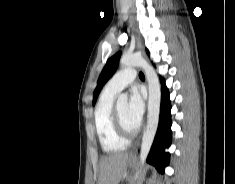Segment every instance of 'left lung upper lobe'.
Returning a JSON list of instances; mask_svg holds the SVG:
<instances>
[{"label":"left lung upper lobe","mask_w":235,"mask_h":184,"mask_svg":"<svg viewBox=\"0 0 235 184\" xmlns=\"http://www.w3.org/2000/svg\"><path fill=\"white\" fill-rule=\"evenodd\" d=\"M147 54L149 55L148 50ZM119 59H120V53L115 54L114 56L110 57L106 63V65L104 66L99 79L97 81V87L94 90V94H93V105H95V102L97 100L98 94L100 92V90L102 89V87L104 86V84L112 77V75L115 73L117 67H118V63H119Z\"/></svg>","instance_id":"5c2ea615"}]
</instances>
